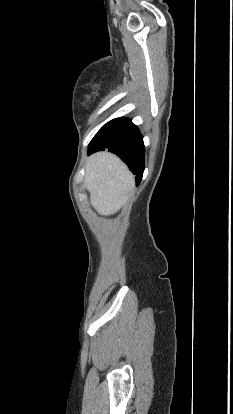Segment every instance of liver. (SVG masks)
Instances as JSON below:
<instances>
[{"mask_svg": "<svg viewBox=\"0 0 233 414\" xmlns=\"http://www.w3.org/2000/svg\"><path fill=\"white\" fill-rule=\"evenodd\" d=\"M84 185L90 203L100 215L118 212L128 201L135 179L128 167L107 151L91 155L85 164Z\"/></svg>", "mask_w": 233, "mask_h": 414, "instance_id": "liver-1", "label": "liver"}]
</instances>
